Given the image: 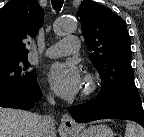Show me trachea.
Returning <instances> with one entry per match:
<instances>
[{
  "label": "trachea",
  "instance_id": "obj_1",
  "mask_svg": "<svg viewBox=\"0 0 144 137\" xmlns=\"http://www.w3.org/2000/svg\"><path fill=\"white\" fill-rule=\"evenodd\" d=\"M64 0H52V6L55 11H60Z\"/></svg>",
  "mask_w": 144,
  "mask_h": 137
}]
</instances>
